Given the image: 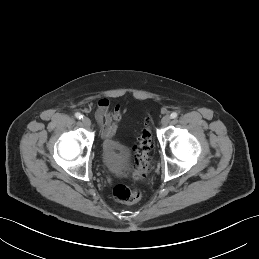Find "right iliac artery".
<instances>
[{"label":"right iliac artery","instance_id":"82829eb1","mask_svg":"<svg viewBox=\"0 0 259 259\" xmlns=\"http://www.w3.org/2000/svg\"><path fill=\"white\" fill-rule=\"evenodd\" d=\"M75 117H76L77 119H82V118H83V115H82L81 113L77 112V113L75 114Z\"/></svg>","mask_w":259,"mask_h":259}]
</instances>
